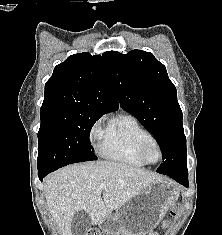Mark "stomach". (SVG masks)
Here are the masks:
<instances>
[{
  "label": "stomach",
  "instance_id": "stomach-1",
  "mask_svg": "<svg viewBox=\"0 0 222 235\" xmlns=\"http://www.w3.org/2000/svg\"><path fill=\"white\" fill-rule=\"evenodd\" d=\"M178 197L172 182L157 181L105 217L99 226L104 235H147Z\"/></svg>",
  "mask_w": 222,
  "mask_h": 235
}]
</instances>
